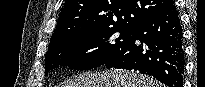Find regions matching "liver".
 I'll list each match as a JSON object with an SVG mask.
<instances>
[{"instance_id":"obj_1","label":"liver","mask_w":205,"mask_h":87,"mask_svg":"<svg viewBox=\"0 0 205 87\" xmlns=\"http://www.w3.org/2000/svg\"><path fill=\"white\" fill-rule=\"evenodd\" d=\"M63 87H162L153 78L139 72L111 69L81 74Z\"/></svg>"}]
</instances>
